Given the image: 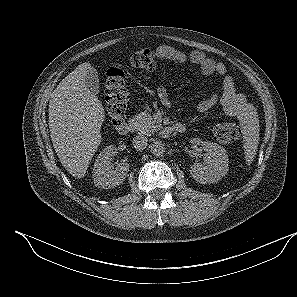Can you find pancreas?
<instances>
[{
    "label": "pancreas",
    "instance_id": "pancreas-1",
    "mask_svg": "<svg viewBox=\"0 0 297 297\" xmlns=\"http://www.w3.org/2000/svg\"><path fill=\"white\" fill-rule=\"evenodd\" d=\"M130 122L134 125L135 130L139 134L150 135L160 129V125L155 124L151 114L142 112L135 115Z\"/></svg>",
    "mask_w": 297,
    "mask_h": 297
}]
</instances>
